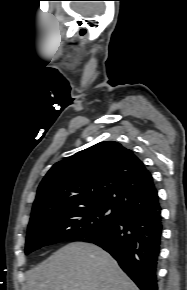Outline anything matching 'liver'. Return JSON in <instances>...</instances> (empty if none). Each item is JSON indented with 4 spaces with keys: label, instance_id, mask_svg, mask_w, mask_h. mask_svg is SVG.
Segmentation results:
<instances>
[{
    "label": "liver",
    "instance_id": "liver-1",
    "mask_svg": "<svg viewBox=\"0 0 187 290\" xmlns=\"http://www.w3.org/2000/svg\"><path fill=\"white\" fill-rule=\"evenodd\" d=\"M26 290H139L110 254L73 242L27 273Z\"/></svg>",
    "mask_w": 187,
    "mask_h": 290
}]
</instances>
